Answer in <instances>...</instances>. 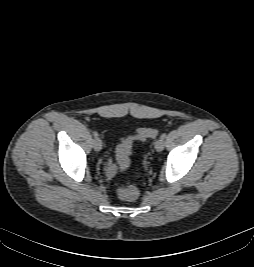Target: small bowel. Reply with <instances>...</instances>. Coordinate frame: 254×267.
I'll return each instance as SVG.
<instances>
[{"mask_svg": "<svg viewBox=\"0 0 254 267\" xmlns=\"http://www.w3.org/2000/svg\"><path fill=\"white\" fill-rule=\"evenodd\" d=\"M114 173H115L114 168H113L112 166H109V167L107 168V175H108L109 177H112V176L114 175Z\"/></svg>", "mask_w": 254, "mask_h": 267, "instance_id": "small-bowel-1", "label": "small bowel"}]
</instances>
